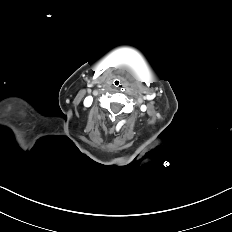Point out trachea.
<instances>
[{
  "label": "trachea",
  "instance_id": "3493384b",
  "mask_svg": "<svg viewBox=\"0 0 232 232\" xmlns=\"http://www.w3.org/2000/svg\"><path fill=\"white\" fill-rule=\"evenodd\" d=\"M113 86L116 87V88H120L121 87V80L120 79H114L113 82H112Z\"/></svg>",
  "mask_w": 232,
  "mask_h": 232
}]
</instances>
